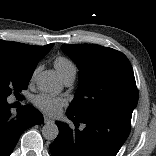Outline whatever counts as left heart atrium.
Returning <instances> with one entry per match:
<instances>
[{"label":"left heart atrium","instance_id":"left-heart-atrium-1","mask_svg":"<svg viewBox=\"0 0 156 156\" xmlns=\"http://www.w3.org/2000/svg\"><path fill=\"white\" fill-rule=\"evenodd\" d=\"M65 100L49 94H39L34 98L35 106L48 115H56L65 105Z\"/></svg>","mask_w":156,"mask_h":156}]
</instances>
